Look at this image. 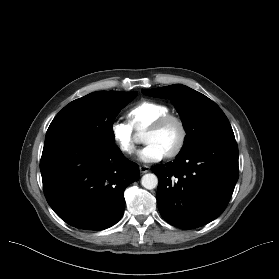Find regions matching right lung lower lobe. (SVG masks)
Wrapping results in <instances>:
<instances>
[{
	"label": "right lung lower lobe",
	"instance_id": "1",
	"mask_svg": "<svg viewBox=\"0 0 279 279\" xmlns=\"http://www.w3.org/2000/svg\"><path fill=\"white\" fill-rule=\"evenodd\" d=\"M40 170L54 212L73 227L96 231L120 220L124 190L139 176L138 165L116 145L104 148L74 137L45 143Z\"/></svg>",
	"mask_w": 279,
	"mask_h": 279
}]
</instances>
